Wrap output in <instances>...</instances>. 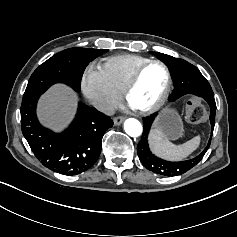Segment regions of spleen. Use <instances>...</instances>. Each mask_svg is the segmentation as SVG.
I'll return each mask as SVG.
<instances>
[{"mask_svg":"<svg viewBox=\"0 0 237 237\" xmlns=\"http://www.w3.org/2000/svg\"><path fill=\"white\" fill-rule=\"evenodd\" d=\"M148 140L152 152L169 161L185 159L200 145V136H195L181 145H175L159 129L151 130Z\"/></svg>","mask_w":237,"mask_h":237,"instance_id":"obj_1","label":"spleen"}]
</instances>
